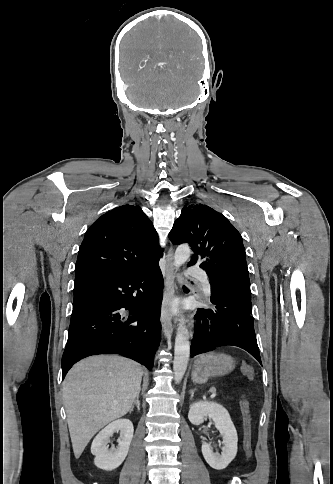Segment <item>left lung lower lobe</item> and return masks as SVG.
I'll use <instances>...</instances> for the list:
<instances>
[{"label":"left lung lower lobe","mask_w":333,"mask_h":484,"mask_svg":"<svg viewBox=\"0 0 333 484\" xmlns=\"http://www.w3.org/2000/svg\"><path fill=\"white\" fill-rule=\"evenodd\" d=\"M196 261L192 259L188 265ZM200 267L210 278L211 302L215 306L198 309L191 357L232 345L248 351L262 364L253 325L246 257L238 249H224L207 258Z\"/></svg>","instance_id":"obj_1"}]
</instances>
